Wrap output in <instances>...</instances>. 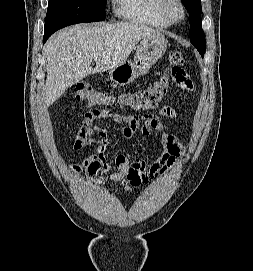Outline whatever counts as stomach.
Returning a JSON list of instances; mask_svg holds the SVG:
<instances>
[{"label":"stomach","mask_w":253,"mask_h":271,"mask_svg":"<svg viewBox=\"0 0 253 271\" xmlns=\"http://www.w3.org/2000/svg\"><path fill=\"white\" fill-rule=\"evenodd\" d=\"M167 40L160 33L151 34L142 39L136 49L134 60L125 61L109 71V77L117 85H127L135 81L164 55Z\"/></svg>","instance_id":"obj_1"}]
</instances>
